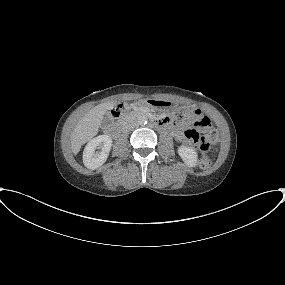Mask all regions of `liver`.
Wrapping results in <instances>:
<instances>
[{
  "label": "liver",
  "mask_w": 285,
  "mask_h": 285,
  "mask_svg": "<svg viewBox=\"0 0 285 285\" xmlns=\"http://www.w3.org/2000/svg\"><path fill=\"white\" fill-rule=\"evenodd\" d=\"M116 105L117 102L99 104L81 118L71 134V148L75 155L80 151L82 145L98 133L104 115Z\"/></svg>",
  "instance_id": "1"
}]
</instances>
